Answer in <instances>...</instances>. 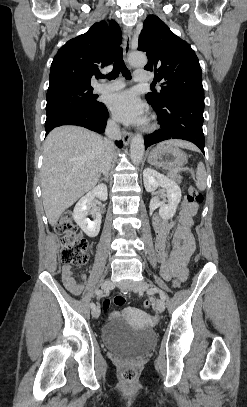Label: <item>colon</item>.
<instances>
[{"mask_svg": "<svg viewBox=\"0 0 247 407\" xmlns=\"http://www.w3.org/2000/svg\"><path fill=\"white\" fill-rule=\"evenodd\" d=\"M187 200L190 203L199 204L203 201V195L195 187H190L187 194ZM55 231L61 238V261L65 265L82 266L87 263L88 243L78 232L74 225L71 214L65 213L56 223ZM181 285L180 279L173 280V286L179 287ZM125 303V298L121 295L113 296L106 299L103 305L105 313L109 312L112 305L121 306ZM151 301L146 300L144 307L149 308ZM138 372L133 366H125L122 369V377L127 382H132L137 378Z\"/></svg>", "mask_w": 247, "mask_h": 407, "instance_id": "obj_1", "label": "colon"}]
</instances>
